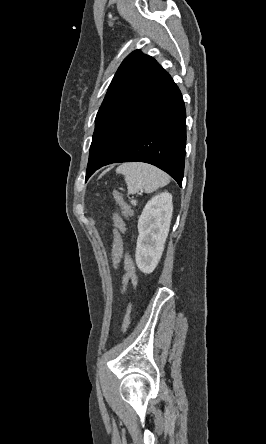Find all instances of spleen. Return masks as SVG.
<instances>
[{
    "instance_id": "obj_1",
    "label": "spleen",
    "mask_w": 266,
    "mask_h": 444,
    "mask_svg": "<svg viewBox=\"0 0 266 444\" xmlns=\"http://www.w3.org/2000/svg\"><path fill=\"white\" fill-rule=\"evenodd\" d=\"M116 173L124 176L128 194H135L139 190L149 194L170 181L169 176L160 169L139 162L124 163L116 169Z\"/></svg>"
}]
</instances>
